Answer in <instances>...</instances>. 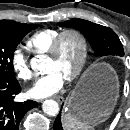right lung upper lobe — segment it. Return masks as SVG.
Segmentation results:
<instances>
[{"mask_svg": "<svg viewBox=\"0 0 130 130\" xmlns=\"http://www.w3.org/2000/svg\"><path fill=\"white\" fill-rule=\"evenodd\" d=\"M0 24H5V25H17L19 24L18 22L12 21V20H0Z\"/></svg>", "mask_w": 130, "mask_h": 130, "instance_id": "right-lung-upper-lobe-1", "label": "right lung upper lobe"}]
</instances>
